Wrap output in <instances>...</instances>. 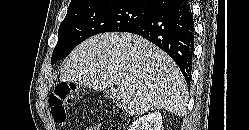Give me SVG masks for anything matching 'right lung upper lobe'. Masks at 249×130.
<instances>
[{"label":"right lung upper lobe","instance_id":"cb5924a9","mask_svg":"<svg viewBox=\"0 0 249 130\" xmlns=\"http://www.w3.org/2000/svg\"><path fill=\"white\" fill-rule=\"evenodd\" d=\"M95 1H104V0H72L70 2L68 10L85 4L93 3ZM128 1L137 6L152 10L154 12H158L163 8H165L166 6H168L169 4H171L172 2H174L175 0H128Z\"/></svg>","mask_w":249,"mask_h":130}]
</instances>
